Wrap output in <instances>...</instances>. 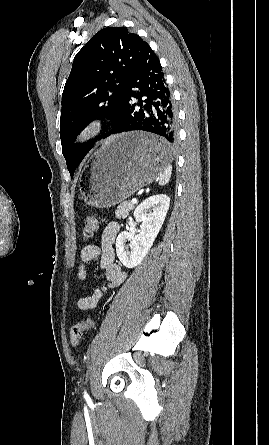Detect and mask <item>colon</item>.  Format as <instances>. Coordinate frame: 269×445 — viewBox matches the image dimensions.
I'll use <instances>...</instances> for the list:
<instances>
[{
  "label": "colon",
  "instance_id": "obj_1",
  "mask_svg": "<svg viewBox=\"0 0 269 445\" xmlns=\"http://www.w3.org/2000/svg\"><path fill=\"white\" fill-rule=\"evenodd\" d=\"M99 229V222L96 217L89 216L85 219L83 225V237L85 239H90L93 237ZM94 327V322L92 319H86L75 324L71 328L70 332V342L73 347H77L81 341V338L85 331Z\"/></svg>",
  "mask_w": 269,
  "mask_h": 445
}]
</instances>
